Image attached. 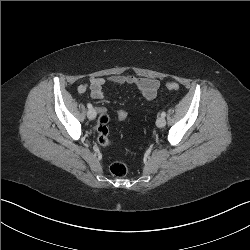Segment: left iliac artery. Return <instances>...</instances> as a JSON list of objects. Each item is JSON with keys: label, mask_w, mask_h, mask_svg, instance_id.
I'll use <instances>...</instances> for the list:
<instances>
[{"label": "left iliac artery", "mask_w": 250, "mask_h": 250, "mask_svg": "<svg viewBox=\"0 0 250 250\" xmlns=\"http://www.w3.org/2000/svg\"><path fill=\"white\" fill-rule=\"evenodd\" d=\"M166 116V113L165 112H162L161 113V117H165Z\"/></svg>", "instance_id": "left-iliac-artery-1"}]
</instances>
